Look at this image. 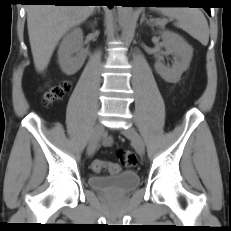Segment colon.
Wrapping results in <instances>:
<instances>
[{"label":"colon","mask_w":231,"mask_h":231,"mask_svg":"<svg viewBox=\"0 0 231 231\" xmlns=\"http://www.w3.org/2000/svg\"><path fill=\"white\" fill-rule=\"evenodd\" d=\"M71 89V82L64 80L55 85L46 88L43 91V101L45 105H50L54 101L61 99ZM118 158L123 166L127 168H133L137 164L136 156L133 152L128 150H120L118 152ZM92 169L95 172H100L104 169H108L111 173L118 172V166L113 163H108L104 160H95L92 164Z\"/></svg>","instance_id":"5ec220e1"}]
</instances>
